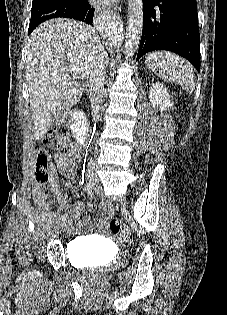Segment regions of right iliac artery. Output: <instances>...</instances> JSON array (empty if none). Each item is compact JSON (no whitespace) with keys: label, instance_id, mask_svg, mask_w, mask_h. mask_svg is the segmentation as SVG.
Returning a JSON list of instances; mask_svg holds the SVG:
<instances>
[{"label":"right iliac artery","instance_id":"obj_1","mask_svg":"<svg viewBox=\"0 0 227 315\" xmlns=\"http://www.w3.org/2000/svg\"><path fill=\"white\" fill-rule=\"evenodd\" d=\"M91 189H92V184H91V183H86V184L84 185V187H83V190H84L85 192H90ZM67 219H68V215H67V214H64V215L62 216V221H66Z\"/></svg>","mask_w":227,"mask_h":315}]
</instances>
